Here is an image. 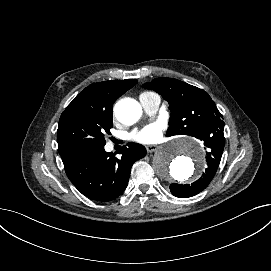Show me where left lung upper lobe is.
<instances>
[{
  "label": "left lung upper lobe",
  "mask_w": 271,
  "mask_h": 271,
  "mask_svg": "<svg viewBox=\"0 0 271 271\" xmlns=\"http://www.w3.org/2000/svg\"><path fill=\"white\" fill-rule=\"evenodd\" d=\"M144 87L158 92L170 103L167 136L190 135L202 141L225 143L223 116L204 90L174 78H155Z\"/></svg>",
  "instance_id": "obj_1"
}]
</instances>
